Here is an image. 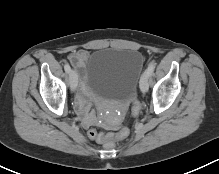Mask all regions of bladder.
I'll return each instance as SVG.
<instances>
[{
	"mask_svg": "<svg viewBox=\"0 0 219 174\" xmlns=\"http://www.w3.org/2000/svg\"><path fill=\"white\" fill-rule=\"evenodd\" d=\"M143 64L144 55L139 50L98 49L86 63V87L98 97L127 101L135 92Z\"/></svg>",
	"mask_w": 219,
	"mask_h": 174,
	"instance_id": "bladder-1",
	"label": "bladder"
}]
</instances>
